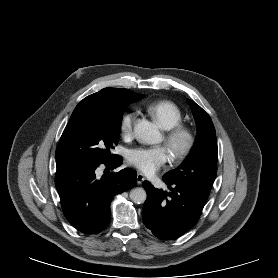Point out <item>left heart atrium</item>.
Here are the masks:
<instances>
[{
  "mask_svg": "<svg viewBox=\"0 0 278 278\" xmlns=\"http://www.w3.org/2000/svg\"><path fill=\"white\" fill-rule=\"evenodd\" d=\"M169 155L164 147L135 148L128 154V161L141 172L152 175L168 160Z\"/></svg>",
  "mask_w": 278,
  "mask_h": 278,
  "instance_id": "obj_1",
  "label": "left heart atrium"
}]
</instances>
